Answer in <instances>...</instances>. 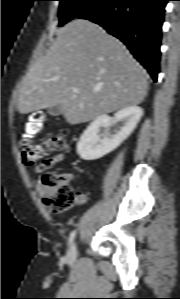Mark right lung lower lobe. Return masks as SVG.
Instances as JSON below:
<instances>
[{
    "mask_svg": "<svg viewBox=\"0 0 180 299\" xmlns=\"http://www.w3.org/2000/svg\"><path fill=\"white\" fill-rule=\"evenodd\" d=\"M167 1L103 0L77 18L99 24L120 39L156 82Z\"/></svg>",
    "mask_w": 180,
    "mask_h": 299,
    "instance_id": "1",
    "label": "right lung lower lobe"
}]
</instances>
